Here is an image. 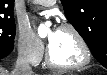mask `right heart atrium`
I'll return each instance as SVG.
<instances>
[{"instance_id":"1","label":"right heart atrium","mask_w":107,"mask_h":75,"mask_svg":"<svg viewBox=\"0 0 107 75\" xmlns=\"http://www.w3.org/2000/svg\"><path fill=\"white\" fill-rule=\"evenodd\" d=\"M16 48L19 56L31 64L42 59L44 47L28 26H20L16 37Z\"/></svg>"}]
</instances>
